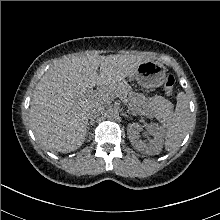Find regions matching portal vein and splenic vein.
I'll return each instance as SVG.
<instances>
[{
	"instance_id": "18ae733b",
	"label": "portal vein and splenic vein",
	"mask_w": 220,
	"mask_h": 220,
	"mask_svg": "<svg viewBox=\"0 0 220 220\" xmlns=\"http://www.w3.org/2000/svg\"><path fill=\"white\" fill-rule=\"evenodd\" d=\"M89 98H94L97 96L96 93H93V92H90L88 95H87Z\"/></svg>"
}]
</instances>
